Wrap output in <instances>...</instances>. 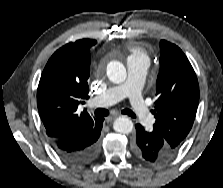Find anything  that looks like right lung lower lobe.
I'll list each match as a JSON object with an SVG mask.
<instances>
[{
	"label": "right lung lower lobe",
	"instance_id": "obj_1",
	"mask_svg": "<svg viewBox=\"0 0 223 188\" xmlns=\"http://www.w3.org/2000/svg\"><path fill=\"white\" fill-rule=\"evenodd\" d=\"M104 118L97 121L85 131L74 136L51 139L56 153L67 163L80 166L92 162L99 153V137Z\"/></svg>",
	"mask_w": 223,
	"mask_h": 188
}]
</instances>
